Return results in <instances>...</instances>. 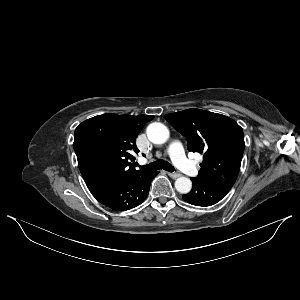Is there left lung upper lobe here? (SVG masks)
Returning <instances> with one entry per match:
<instances>
[{"label":"left lung upper lobe","instance_id":"left-lung-upper-lobe-1","mask_svg":"<svg viewBox=\"0 0 300 300\" xmlns=\"http://www.w3.org/2000/svg\"><path fill=\"white\" fill-rule=\"evenodd\" d=\"M165 119L187 137L189 151L203 154L196 178L230 190L244 152L242 128L227 116L200 109L167 114Z\"/></svg>","mask_w":300,"mask_h":300}]
</instances>
